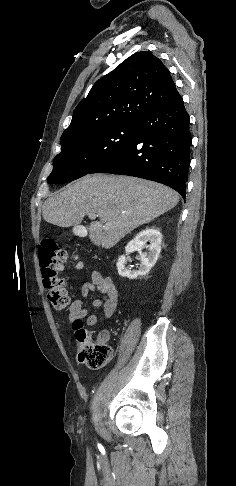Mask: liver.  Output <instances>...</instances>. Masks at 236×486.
Instances as JSON below:
<instances>
[{"label": "liver", "instance_id": "1", "mask_svg": "<svg viewBox=\"0 0 236 486\" xmlns=\"http://www.w3.org/2000/svg\"><path fill=\"white\" fill-rule=\"evenodd\" d=\"M178 194L169 187L136 177L95 174L49 197L42 209L46 222L69 227L85 215H98L89 227L96 246L109 249L135 228L174 208Z\"/></svg>", "mask_w": 236, "mask_h": 486}]
</instances>
